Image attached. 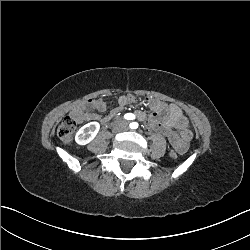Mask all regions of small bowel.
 <instances>
[{"label": "small bowel", "mask_w": 250, "mask_h": 250, "mask_svg": "<svg viewBox=\"0 0 250 250\" xmlns=\"http://www.w3.org/2000/svg\"><path fill=\"white\" fill-rule=\"evenodd\" d=\"M136 98L131 95H122L118 100V107H123L131 102H135ZM146 103L152 110L150 115L143 112L136 113L140 120H144L146 125L152 130L160 132L174 145V147L183 153L187 150L190 140L192 139V131L186 116L181 109L173 104H167L154 98H147ZM108 107L106 101L98 99L91 102V108L98 111H104ZM72 116L77 121H104L100 115L92 112H86L84 109H76Z\"/></svg>", "instance_id": "obj_1"}]
</instances>
